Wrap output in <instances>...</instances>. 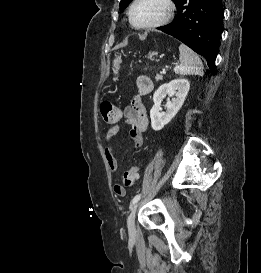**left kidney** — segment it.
<instances>
[{
  "label": "left kidney",
  "instance_id": "left-kidney-1",
  "mask_svg": "<svg viewBox=\"0 0 261 273\" xmlns=\"http://www.w3.org/2000/svg\"><path fill=\"white\" fill-rule=\"evenodd\" d=\"M190 83L186 79H174L169 83L161 85L153 95L154 105L150 110L151 127L155 131L161 130L167 125L182 107L188 94ZM166 112H162L161 103L166 96Z\"/></svg>",
  "mask_w": 261,
  "mask_h": 273
}]
</instances>
